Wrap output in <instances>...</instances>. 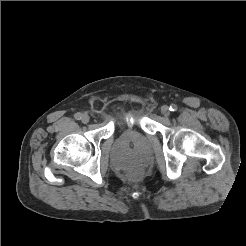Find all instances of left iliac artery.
I'll return each mask as SVG.
<instances>
[{"mask_svg":"<svg viewBox=\"0 0 246 246\" xmlns=\"http://www.w3.org/2000/svg\"><path fill=\"white\" fill-rule=\"evenodd\" d=\"M177 105H175V104H172L171 106H170V111H176L177 110Z\"/></svg>","mask_w":246,"mask_h":246,"instance_id":"44dca946","label":"left iliac artery"}]
</instances>
